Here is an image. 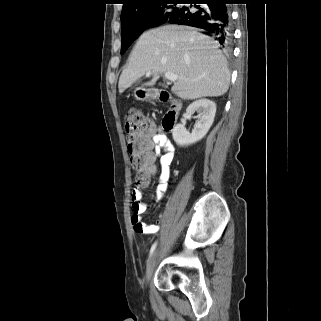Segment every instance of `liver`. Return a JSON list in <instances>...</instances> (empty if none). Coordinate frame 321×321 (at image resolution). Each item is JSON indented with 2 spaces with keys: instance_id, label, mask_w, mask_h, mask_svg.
Wrapping results in <instances>:
<instances>
[{
  "instance_id": "6515ba94",
  "label": "liver",
  "mask_w": 321,
  "mask_h": 321,
  "mask_svg": "<svg viewBox=\"0 0 321 321\" xmlns=\"http://www.w3.org/2000/svg\"><path fill=\"white\" fill-rule=\"evenodd\" d=\"M218 42L191 27L167 25L144 33L134 46L118 83L123 93L145 73H153L146 86H153L160 74L170 72L179 79L172 92L193 100L218 97L229 88L230 72Z\"/></svg>"
}]
</instances>
